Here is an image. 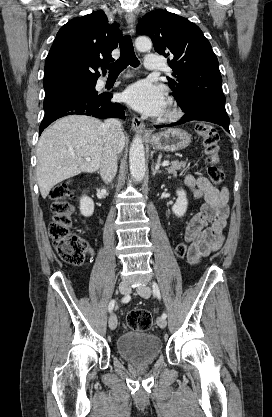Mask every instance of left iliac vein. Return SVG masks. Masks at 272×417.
Returning <instances> with one entry per match:
<instances>
[{
  "instance_id": "obj_1",
  "label": "left iliac vein",
  "mask_w": 272,
  "mask_h": 417,
  "mask_svg": "<svg viewBox=\"0 0 272 417\" xmlns=\"http://www.w3.org/2000/svg\"><path fill=\"white\" fill-rule=\"evenodd\" d=\"M137 292L141 297L147 299L150 297L152 290L149 286H141L137 288ZM156 322L160 328H165L167 325V321L163 317H158Z\"/></svg>"
}]
</instances>
